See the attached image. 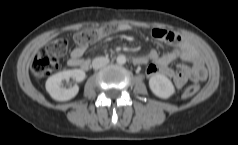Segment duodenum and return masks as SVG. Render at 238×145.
I'll use <instances>...</instances> for the list:
<instances>
[{
    "instance_id": "410a0bca",
    "label": "duodenum",
    "mask_w": 238,
    "mask_h": 145,
    "mask_svg": "<svg viewBox=\"0 0 238 145\" xmlns=\"http://www.w3.org/2000/svg\"><path fill=\"white\" fill-rule=\"evenodd\" d=\"M132 61H133V63H134L135 65H138V63H139L137 57H133Z\"/></svg>"
}]
</instances>
